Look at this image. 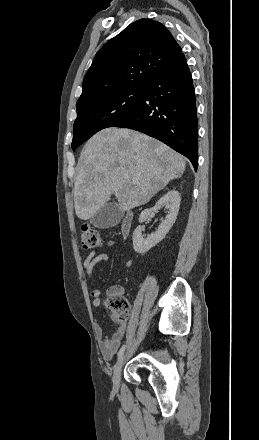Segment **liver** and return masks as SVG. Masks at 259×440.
<instances>
[{
  "label": "liver",
  "instance_id": "1",
  "mask_svg": "<svg viewBox=\"0 0 259 440\" xmlns=\"http://www.w3.org/2000/svg\"><path fill=\"white\" fill-rule=\"evenodd\" d=\"M185 167L179 153L155 138L126 128L103 129L87 141L77 164L76 215L91 218L112 195L123 211L144 205Z\"/></svg>",
  "mask_w": 259,
  "mask_h": 440
}]
</instances>
